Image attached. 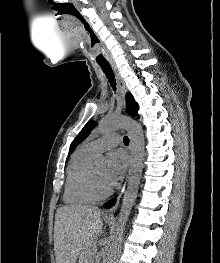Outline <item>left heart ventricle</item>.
<instances>
[{"instance_id": "b2bd125f", "label": "left heart ventricle", "mask_w": 220, "mask_h": 263, "mask_svg": "<svg viewBox=\"0 0 220 263\" xmlns=\"http://www.w3.org/2000/svg\"><path fill=\"white\" fill-rule=\"evenodd\" d=\"M105 169L106 167L104 164L94 165V172H95L97 185L101 190H107L108 188L112 186L106 178Z\"/></svg>"}]
</instances>
